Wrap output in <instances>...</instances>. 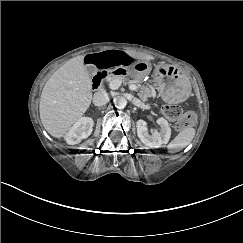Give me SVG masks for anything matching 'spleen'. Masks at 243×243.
I'll return each instance as SVG.
<instances>
[{
    "label": "spleen",
    "mask_w": 243,
    "mask_h": 243,
    "mask_svg": "<svg viewBox=\"0 0 243 243\" xmlns=\"http://www.w3.org/2000/svg\"><path fill=\"white\" fill-rule=\"evenodd\" d=\"M196 135V129L193 127H186L181 130L173 140L167 145L168 152H177L191 144Z\"/></svg>",
    "instance_id": "1"
}]
</instances>
